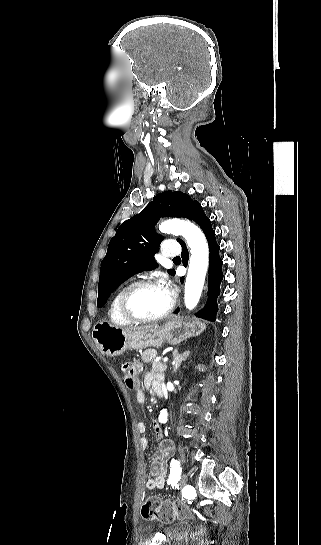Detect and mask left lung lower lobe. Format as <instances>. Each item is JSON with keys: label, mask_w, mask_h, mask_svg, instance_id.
<instances>
[{"label": "left lung lower lobe", "mask_w": 321, "mask_h": 545, "mask_svg": "<svg viewBox=\"0 0 321 545\" xmlns=\"http://www.w3.org/2000/svg\"><path fill=\"white\" fill-rule=\"evenodd\" d=\"M190 220L195 221L204 231L208 240L210 250L208 299L205 307L198 313H196V315L210 321H215L216 314L218 312L217 297L220 295V283L223 279V262L219 256L220 246L216 242L215 232L212 229L210 219L205 215L201 206L198 207L197 210L193 213V216ZM180 244L182 246L181 257L183 265L187 266L189 258L188 250L186 248V244L183 241H181ZM180 281L183 283L184 277H181ZM178 312L179 309L175 311V313Z\"/></svg>", "instance_id": "0a47b994"}]
</instances>
